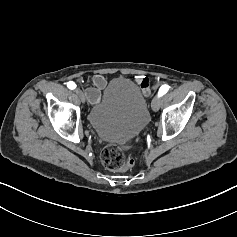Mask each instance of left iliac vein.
<instances>
[{
	"label": "left iliac vein",
	"instance_id": "obj_1",
	"mask_svg": "<svg viewBox=\"0 0 237 237\" xmlns=\"http://www.w3.org/2000/svg\"><path fill=\"white\" fill-rule=\"evenodd\" d=\"M159 106H160L159 97H155L153 99V110H155V111L158 110Z\"/></svg>",
	"mask_w": 237,
	"mask_h": 237
}]
</instances>
